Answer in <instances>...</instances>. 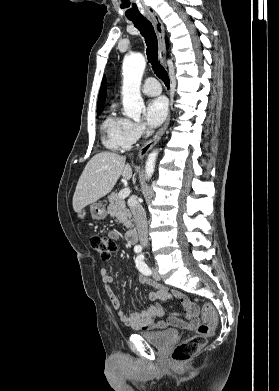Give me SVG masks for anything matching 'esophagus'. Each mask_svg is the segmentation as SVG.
<instances>
[{"label": "esophagus", "instance_id": "esophagus-1", "mask_svg": "<svg viewBox=\"0 0 279 391\" xmlns=\"http://www.w3.org/2000/svg\"><path fill=\"white\" fill-rule=\"evenodd\" d=\"M149 19L154 25V29L156 31L158 37V45H159V59L162 63H165L166 59V46H165V28L164 25L155 12H151ZM170 122V115L165 120L162 127L157 131V133L153 136L151 140H149L139 151L138 158H143L148 151L160 140L165 130L167 129Z\"/></svg>", "mask_w": 279, "mask_h": 391}]
</instances>
